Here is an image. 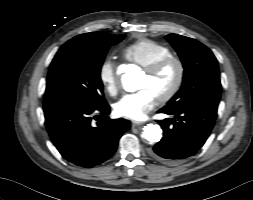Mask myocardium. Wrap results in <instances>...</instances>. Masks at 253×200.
<instances>
[{
    "label": "myocardium",
    "instance_id": "f54148a6",
    "mask_svg": "<svg viewBox=\"0 0 253 200\" xmlns=\"http://www.w3.org/2000/svg\"><path fill=\"white\" fill-rule=\"evenodd\" d=\"M171 65L174 66L176 70L175 78L170 88L157 97L160 102H166L170 100L180 89L185 73L184 64L178 57L171 55L164 57L144 68L145 73L151 76H156Z\"/></svg>",
    "mask_w": 253,
    "mask_h": 200
}]
</instances>
